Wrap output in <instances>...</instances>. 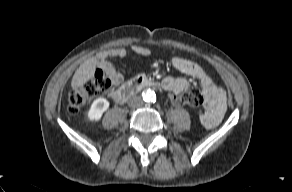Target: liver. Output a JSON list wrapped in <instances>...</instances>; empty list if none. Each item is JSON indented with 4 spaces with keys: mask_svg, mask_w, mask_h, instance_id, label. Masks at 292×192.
Listing matches in <instances>:
<instances>
[{
    "mask_svg": "<svg viewBox=\"0 0 292 192\" xmlns=\"http://www.w3.org/2000/svg\"><path fill=\"white\" fill-rule=\"evenodd\" d=\"M96 65V57H91L83 62L72 77L71 87L73 89H77L78 87L83 86L87 81H89L94 76Z\"/></svg>",
    "mask_w": 292,
    "mask_h": 192,
    "instance_id": "obj_1",
    "label": "liver"
}]
</instances>
